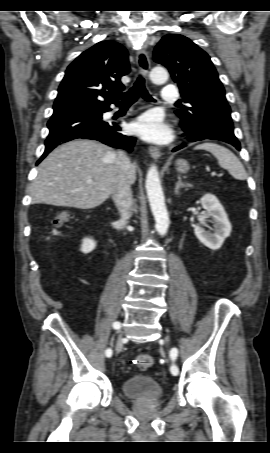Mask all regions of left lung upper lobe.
Here are the masks:
<instances>
[{
    "label": "left lung upper lobe",
    "instance_id": "5c2ea615",
    "mask_svg": "<svg viewBox=\"0 0 270 453\" xmlns=\"http://www.w3.org/2000/svg\"><path fill=\"white\" fill-rule=\"evenodd\" d=\"M153 59L166 66L189 106L175 113L183 125H203L235 137L225 90L208 54L185 36L169 34L155 47Z\"/></svg>",
    "mask_w": 270,
    "mask_h": 453
}]
</instances>
